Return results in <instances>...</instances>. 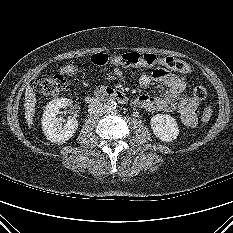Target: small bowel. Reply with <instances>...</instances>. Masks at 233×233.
Segmentation results:
<instances>
[{"label": "small bowel", "mask_w": 233, "mask_h": 233, "mask_svg": "<svg viewBox=\"0 0 233 233\" xmlns=\"http://www.w3.org/2000/svg\"><path fill=\"white\" fill-rule=\"evenodd\" d=\"M113 65L115 66V77L125 80V76L119 68L120 65ZM155 82L166 86L164 95L159 98L140 94L134 99V105L150 112H177L185 126L194 127L197 124L196 112L199 101L193 96L184 94L185 78L164 68L155 69L152 73L139 77V85L142 88H147Z\"/></svg>", "instance_id": "1"}]
</instances>
